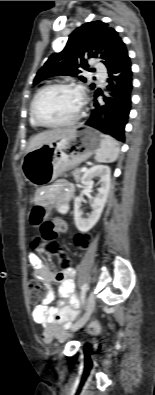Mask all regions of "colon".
I'll return each mask as SVG.
<instances>
[{"mask_svg": "<svg viewBox=\"0 0 155 395\" xmlns=\"http://www.w3.org/2000/svg\"><path fill=\"white\" fill-rule=\"evenodd\" d=\"M30 220L32 224L41 226L40 233L42 236L36 237L31 242V247L34 250L42 251L49 256H57L64 266V272H75V265L69 259L68 250H61L59 243L55 240V225L52 221L45 219V210L41 206H36L31 212ZM55 221L59 220L58 216L54 217ZM89 237L78 235L75 238V243L78 246L86 247L89 244ZM29 299L32 304H36L44 300L46 296L45 288L35 280H30L28 283Z\"/></svg>", "mask_w": 155, "mask_h": 395, "instance_id": "1", "label": "colon"}]
</instances>
